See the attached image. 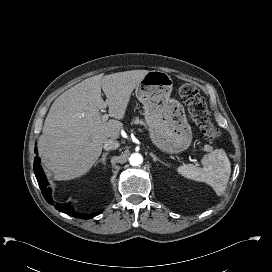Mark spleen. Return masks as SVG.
<instances>
[{"label":"spleen","mask_w":272,"mask_h":272,"mask_svg":"<svg viewBox=\"0 0 272 272\" xmlns=\"http://www.w3.org/2000/svg\"><path fill=\"white\" fill-rule=\"evenodd\" d=\"M203 167L193 164H184L177 168V172L187 179L205 182L210 185L217 195L226 189L230 173V161L222 149H216L202 158Z\"/></svg>","instance_id":"3e777b00"}]
</instances>
